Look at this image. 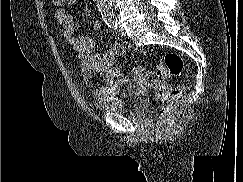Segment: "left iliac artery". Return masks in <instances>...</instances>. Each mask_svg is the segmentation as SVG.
I'll use <instances>...</instances> for the list:
<instances>
[{
	"mask_svg": "<svg viewBox=\"0 0 243 182\" xmlns=\"http://www.w3.org/2000/svg\"><path fill=\"white\" fill-rule=\"evenodd\" d=\"M114 28H115V29L117 28V24L114 25Z\"/></svg>",
	"mask_w": 243,
	"mask_h": 182,
	"instance_id": "obj_1",
	"label": "left iliac artery"
}]
</instances>
